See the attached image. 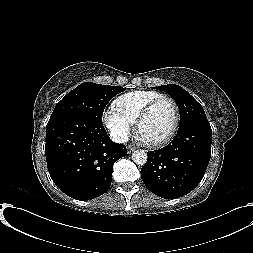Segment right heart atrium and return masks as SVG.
I'll use <instances>...</instances> for the list:
<instances>
[{
  "instance_id": "obj_1",
  "label": "right heart atrium",
  "mask_w": 253,
  "mask_h": 253,
  "mask_svg": "<svg viewBox=\"0 0 253 253\" xmlns=\"http://www.w3.org/2000/svg\"><path fill=\"white\" fill-rule=\"evenodd\" d=\"M103 121L116 141L125 142L130 138L132 123L120 114L115 107H110L106 110Z\"/></svg>"
}]
</instances>
